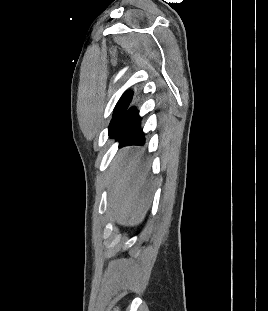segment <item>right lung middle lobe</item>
<instances>
[{
  "instance_id": "1",
  "label": "right lung middle lobe",
  "mask_w": 268,
  "mask_h": 311,
  "mask_svg": "<svg viewBox=\"0 0 268 311\" xmlns=\"http://www.w3.org/2000/svg\"><path fill=\"white\" fill-rule=\"evenodd\" d=\"M133 92L132 91H127L123 94V96L120 98L118 101L112 120L109 125V131L116 125V123L121 119V117L124 115L128 105L130 104L132 100Z\"/></svg>"
}]
</instances>
